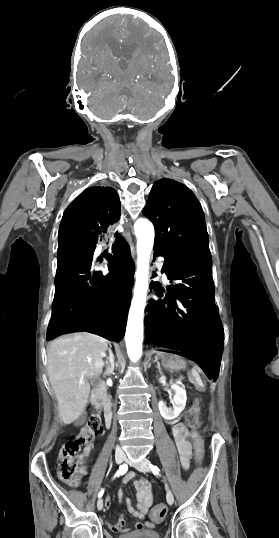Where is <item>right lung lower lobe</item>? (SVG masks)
<instances>
[{"mask_svg": "<svg viewBox=\"0 0 279 538\" xmlns=\"http://www.w3.org/2000/svg\"><path fill=\"white\" fill-rule=\"evenodd\" d=\"M120 208L113 188L91 187L65 210L58 232L48 339L89 330L113 340L123 338L135 267L122 236L112 227L120 218ZM105 237L114 239L107 275L92 264L96 244Z\"/></svg>", "mask_w": 279, "mask_h": 538, "instance_id": "obj_1", "label": "right lung lower lobe"}]
</instances>
